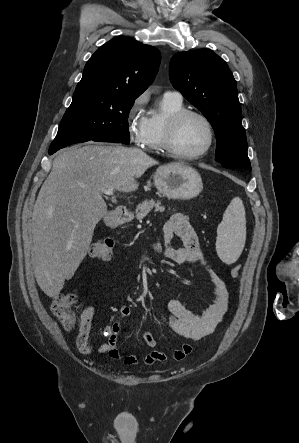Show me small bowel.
I'll return each instance as SVG.
<instances>
[{"label": "small bowel", "instance_id": "small-bowel-1", "mask_svg": "<svg viewBox=\"0 0 299 443\" xmlns=\"http://www.w3.org/2000/svg\"><path fill=\"white\" fill-rule=\"evenodd\" d=\"M163 236V246L159 241H156L152 245L154 253H162L167 259L176 264L193 263L200 265L205 269L214 286V301L202 313H196L187 309L178 300H171L168 303L169 316L162 317V321L174 333L191 342H197L210 335L225 315L230 298L229 290L225 281L208 262L199 245L197 234L186 215H173L163 225ZM176 237L181 240L179 246H174L173 244ZM130 313L129 307L121 306L115 322L106 325L103 329V335L108 338L107 341L96 345L92 343L89 338L94 310L91 307L84 308L81 312V318L85 326L79 331L76 339L78 349L84 354H92L95 352L108 354L115 360L123 359L126 365L138 364L141 360L140 357L134 354H125L117 347V335L120 331L121 322L126 319ZM141 337L149 347L153 348V350L142 358L146 365H152L166 360V354L155 349L157 341L148 329L141 331ZM191 351V345L185 343L180 349L174 350L173 358L178 361L182 360L188 356Z\"/></svg>", "mask_w": 299, "mask_h": 443}]
</instances>
